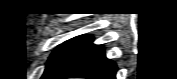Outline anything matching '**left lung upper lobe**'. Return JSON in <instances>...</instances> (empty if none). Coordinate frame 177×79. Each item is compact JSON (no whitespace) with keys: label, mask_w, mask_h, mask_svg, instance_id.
I'll return each mask as SVG.
<instances>
[{"label":"left lung upper lobe","mask_w":177,"mask_h":79,"mask_svg":"<svg viewBox=\"0 0 177 79\" xmlns=\"http://www.w3.org/2000/svg\"><path fill=\"white\" fill-rule=\"evenodd\" d=\"M84 37L85 35L75 37L73 39L66 41L64 44L58 46L51 54L45 72L41 78L49 79V77L61 65V63L65 59L66 55L70 52V50L75 46V44H77Z\"/></svg>","instance_id":"obj_1"}]
</instances>
